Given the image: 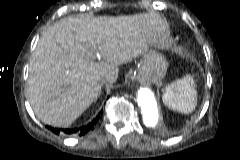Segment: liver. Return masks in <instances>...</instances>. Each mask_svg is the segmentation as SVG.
<instances>
[{
  "label": "liver",
  "instance_id": "obj_1",
  "mask_svg": "<svg viewBox=\"0 0 240 160\" xmlns=\"http://www.w3.org/2000/svg\"><path fill=\"white\" fill-rule=\"evenodd\" d=\"M165 30L155 13L54 23L30 61L27 92L35 115L46 124H71L101 94L102 79L115 82L118 66L161 44Z\"/></svg>",
  "mask_w": 240,
  "mask_h": 160
}]
</instances>
